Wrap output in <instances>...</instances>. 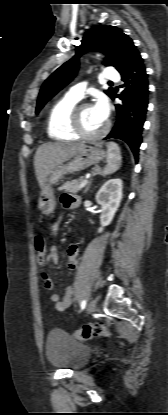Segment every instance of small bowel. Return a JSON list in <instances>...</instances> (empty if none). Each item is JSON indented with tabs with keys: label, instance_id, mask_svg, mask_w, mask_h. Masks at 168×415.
Masks as SVG:
<instances>
[{
	"label": "small bowel",
	"instance_id": "obj_1",
	"mask_svg": "<svg viewBox=\"0 0 168 415\" xmlns=\"http://www.w3.org/2000/svg\"><path fill=\"white\" fill-rule=\"evenodd\" d=\"M61 203L66 209H74L79 204V199L77 196L72 194H63L61 197ZM58 222L54 223L52 226L53 232L56 230ZM68 253V260H67V267L69 269H76L78 266V254H79V246L77 243H72L67 250ZM59 260L58 250L56 246H51L50 249L47 251V264L48 266L51 264H56ZM43 281L44 287L46 290H52L54 287V283L50 276L46 271H42L40 273ZM51 301L55 304V308L58 311H65L67 310L72 304L73 298V288L68 286L65 289L63 297H60L58 294L51 295Z\"/></svg>",
	"mask_w": 168,
	"mask_h": 415
}]
</instances>
